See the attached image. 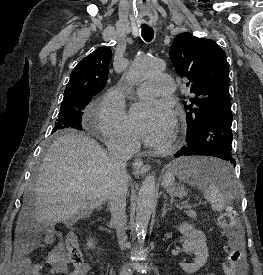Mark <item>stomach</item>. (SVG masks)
Returning <instances> with one entry per match:
<instances>
[{"mask_svg":"<svg viewBox=\"0 0 263 275\" xmlns=\"http://www.w3.org/2000/svg\"><path fill=\"white\" fill-rule=\"evenodd\" d=\"M163 186L166 188L170 196L183 197L186 195L184 187L174 183V173L169 168L163 177Z\"/></svg>","mask_w":263,"mask_h":275,"instance_id":"1","label":"stomach"}]
</instances>
